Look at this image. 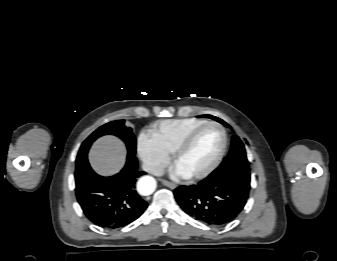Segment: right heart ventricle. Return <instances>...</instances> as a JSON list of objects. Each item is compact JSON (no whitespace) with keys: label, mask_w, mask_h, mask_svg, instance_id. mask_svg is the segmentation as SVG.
<instances>
[{"label":"right heart ventricle","mask_w":337,"mask_h":261,"mask_svg":"<svg viewBox=\"0 0 337 261\" xmlns=\"http://www.w3.org/2000/svg\"><path fill=\"white\" fill-rule=\"evenodd\" d=\"M204 122L199 118L162 120L152 125L149 134L167 154H173L184 137Z\"/></svg>","instance_id":"obj_1"}]
</instances>
